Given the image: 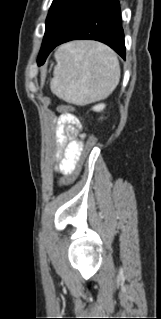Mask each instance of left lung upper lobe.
I'll use <instances>...</instances> for the list:
<instances>
[{
    "label": "left lung upper lobe",
    "instance_id": "obj_1",
    "mask_svg": "<svg viewBox=\"0 0 161 319\" xmlns=\"http://www.w3.org/2000/svg\"><path fill=\"white\" fill-rule=\"evenodd\" d=\"M101 0H53L46 19V30L38 57L43 64L44 53L60 40L90 9Z\"/></svg>",
    "mask_w": 161,
    "mask_h": 319
}]
</instances>
